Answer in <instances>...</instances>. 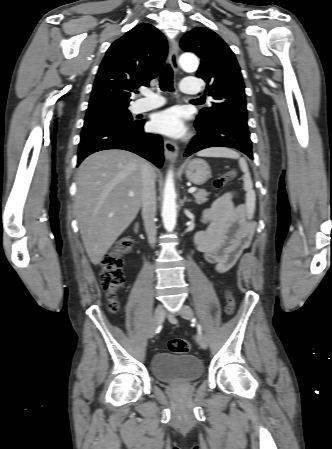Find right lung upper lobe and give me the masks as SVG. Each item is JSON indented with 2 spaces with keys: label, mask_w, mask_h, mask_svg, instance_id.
<instances>
[{
  "label": "right lung upper lobe",
  "mask_w": 332,
  "mask_h": 449,
  "mask_svg": "<svg viewBox=\"0 0 332 449\" xmlns=\"http://www.w3.org/2000/svg\"><path fill=\"white\" fill-rule=\"evenodd\" d=\"M167 56L164 35L141 23L116 40L100 64L88 112L127 108L130 96L140 85L149 86Z\"/></svg>",
  "instance_id": "obj_1"
}]
</instances>
